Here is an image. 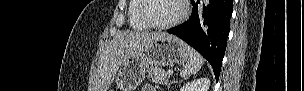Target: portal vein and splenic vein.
<instances>
[{
	"label": "portal vein and splenic vein",
	"instance_id": "1",
	"mask_svg": "<svg viewBox=\"0 0 304 91\" xmlns=\"http://www.w3.org/2000/svg\"><path fill=\"white\" fill-rule=\"evenodd\" d=\"M168 75L171 76L173 74V70H168Z\"/></svg>",
	"mask_w": 304,
	"mask_h": 91
}]
</instances>
